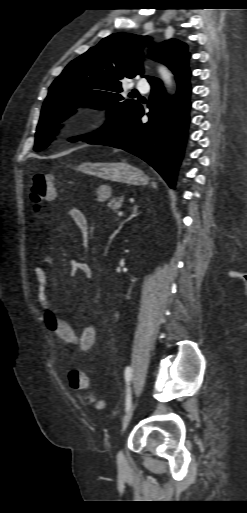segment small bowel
Wrapping results in <instances>:
<instances>
[{"label":"small bowel","mask_w":247,"mask_h":513,"mask_svg":"<svg viewBox=\"0 0 247 513\" xmlns=\"http://www.w3.org/2000/svg\"><path fill=\"white\" fill-rule=\"evenodd\" d=\"M70 220L77 227L81 236L87 238L89 225L83 212L77 208H71L68 212ZM71 271L82 275L85 279H91L92 271L88 264L80 260H73L70 264ZM34 286L31 291L42 307V317L47 329L52 331L67 347L77 353H87L96 342V331L91 325H83L77 330L70 322L61 318V311L55 307L50 299L51 293L56 291V286L50 279L47 271L38 266L31 269Z\"/></svg>","instance_id":"obj_1"}]
</instances>
